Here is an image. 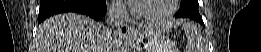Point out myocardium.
I'll use <instances>...</instances> for the list:
<instances>
[{
    "mask_svg": "<svg viewBox=\"0 0 261 52\" xmlns=\"http://www.w3.org/2000/svg\"><path fill=\"white\" fill-rule=\"evenodd\" d=\"M137 1H131L130 2V8L131 12L134 15V17L142 22L146 23H162L165 22L167 19H169L176 11V5L178 3V0H169V4L167 9L157 15H143L140 14L137 10Z\"/></svg>",
    "mask_w": 261,
    "mask_h": 52,
    "instance_id": "obj_1",
    "label": "myocardium"
}]
</instances>
